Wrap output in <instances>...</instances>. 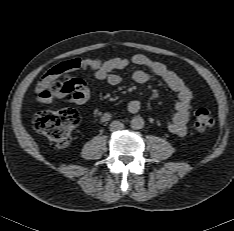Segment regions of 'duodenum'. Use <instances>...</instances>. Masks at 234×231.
Returning a JSON list of instances; mask_svg holds the SVG:
<instances>
[{"instance_id": "410a0bca", "label": "duodenum", "mask_w": 234, "mask_h": 231, "mask_svg": "<svg viewBox=\"0 0 234 231\" xmlns=\"http://www.w3.org/2000/svg\"><path fill=\"white\" fill-rule=\"evenodd\" d=\"M109 117H110L109 114H104L103 117H102V119L106 120V119H108Z\"/></svg>"}]
</instances>
